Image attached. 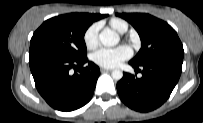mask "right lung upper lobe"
I'll use <instances>...</instances> for the list:
<instances>
[{
  "label": "right lung upper lobe",
  "mask_w": 203,
  "mask_h": 123,
  "mask_svg": "<svg viewBox=\"0 0 203 123\" xmlns=\"http://www.w3.org/2000/svg\"><path fill=\"white\" fill-rule=\"evenodd\" d=\"M85 15V17L91 22L93 23L94 21H97L99 19H102L104 17H106L107 15H101V14H89V13H83Z\"/></svg>",
  "instance_id": "1"
}]
</instances>
